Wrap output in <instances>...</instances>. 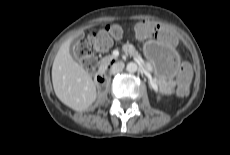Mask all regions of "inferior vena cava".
Masks as SVG:
<instances>
[{"label":"inferior vena cava","mask_w":230,"mask_h":155,"mask_svg":"<svg viewBox=\"0 0 230 155\" xmlns=\"http://www.w3.org/2000/svg\"><path fill=\"white\" fill-rule=\"evenodd\" d=\"M124 68V63L123 62H118L116 64H114L111 69H110V73L111 74H116L118 72H121Z\"/></svg>","instance_id":"obj_1"}]
</instances>
